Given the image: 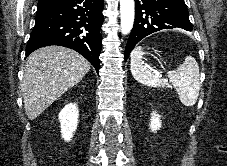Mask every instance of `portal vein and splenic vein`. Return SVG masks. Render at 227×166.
<instances>
[{
  "label": "portal vein and splenic vein",
  "mask_w": 227,
  "mask_h": 166,
  "mask_svg": "<svg viewBox=\"0 0 227 166\" xmlns=\"http://www.w3.org/2000/svg\"><path fill=\"white\" fill-rule=\"evenodd\" d=\"M156 74H157V76H159L160 73L158 72V73H156Z\"/></svg>",
  "instance_id": "1"
}]
</instances>
